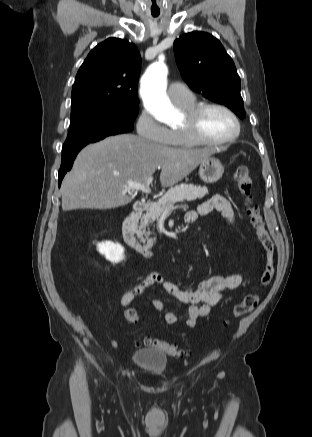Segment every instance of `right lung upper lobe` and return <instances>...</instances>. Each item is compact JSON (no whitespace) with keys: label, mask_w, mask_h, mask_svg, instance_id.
<instances>
[{"label":"right lung upper lobe","mask_w":312,"mask_h":437,"mask_svg":"<svg viewBox=\"0 0 312 437\" xmlns=\"http://www.w3.org/2000/svg\"><path fill=\"white\" fill-rule=\"evenodd\" d=\"M141 57L134 44L109 38L98 44L80 67L71 107L88 103L137 104Z\"/></svg>","instance_id":"cb5924a9"}]
</instances>
